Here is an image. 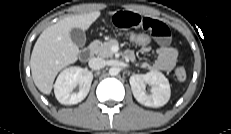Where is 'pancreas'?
Instances as JSON below:
<instances>
[{
    "mask_svg": "<svg viewBox=\"0 0 231 134\" xmlns=\"http://www.w3.org/2000/svg\"><path fill=\"white\" fill-rule=\"evenodd\" d=\"M119 43L115 39H111L107 42H100L98 40L91 43V50L94 54L102 57V58H109L113 56V52L111 48L113 46H118Z\"/></svg>",
    "mask_w": 231,
    "mask_h": 134,
    "instance_id": "1",
    "label": "pancreas"
}]
</instances>
